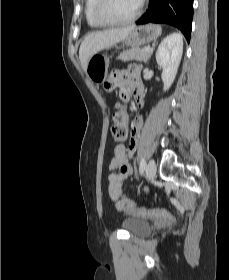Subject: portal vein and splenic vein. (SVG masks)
Returning <instances> with one entry per match:
<instances>
[{
  "instance_id": "portal-vein-and-splenic-vein-1",
  "label": "portal vein and splenic vein",
  "mask_w": 229,
  "mask_h": 280,
  "mask_svg": "<svg viewBox=\"0 0 229 280\" xmlns=\"http://www.w3.org/2000/svg\"><path fill=\"white\" fill-rule=\"evenodd\" d=\"M145 51L146 52H153V49L152 48H145Z\"/></svg>"
}]
</instances>
